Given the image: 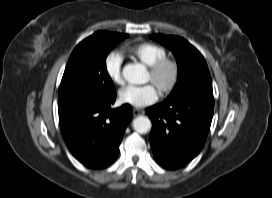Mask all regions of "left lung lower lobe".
<instances>
[{
	"mask_svg": "<svg viewBox=\"0 0 272 198\" xmlns=\"http://www.w3.org/2000/svg\"><path fill=\"white\" fill-rule=\"evenodd\" d=\"M213 110L214 97L209 94H189L147 108L156 161L172 170L191 161L205 144Z\"/></svg>",
	"mask_w": 272,
	"mask_h": 198,
	"instance_id": "obj_1",
	"label": "left lung lower lobe"
}]
</instances>
